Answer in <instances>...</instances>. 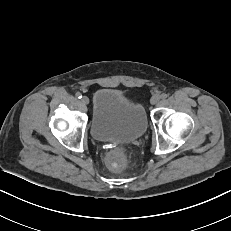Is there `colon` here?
I'll list each match as a JSON object with an SVG mask.
<instances>
[{"mask_svg": "<svg viewBox=\"0 0 231 231\" xmlns=\"http://www.w3.org/2000/svg\"><path fill=\"white\" fill-rule=\"evenodd\" d=\"M127 148L119 145L113 148L106 157L107 165L113 170H121L126 166Z\"/></svg>", "mask_w": 231, "mask_h": 231, "instance_id": "5ec220e1", "label": "colon"}]
</instances>
